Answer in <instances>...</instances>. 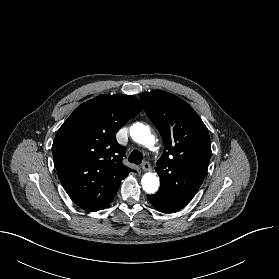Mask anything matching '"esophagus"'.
<instances>
[{
  "label": "esophagus",
  "instance_id": "34e87169",
  "mask_svg": "<svg viewBox=\"0 0 279 279\" xmlns=\"http://www.w3.org/2000/svg\"><path fill=\"white\" fill-rule=\"evenodd\" d=\"M141 168L143 171L148 172L151 170V165L149 162H143Z\"/></svg>",
  "mask_w": 279,
  "mask_h": 279
}]
</instances>
